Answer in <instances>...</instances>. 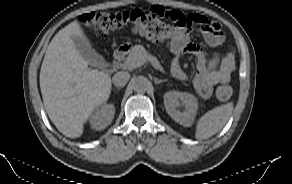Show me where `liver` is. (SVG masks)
<instances>
[{"label":"liver","mask_w":292,"mask_h":184,"mask_svg":"<svg viewBox=\"0 0 292 184\" xmlns=\"http://www.w3.org/2000/svg\"><path fill=\"white\" fill-rule=\"evenodd\" d=\"M72 36L87 40L76 20L50 42L40 70V89L56 128L66 137L77 138L94 109L108 100L112 84L109 74L88 67Z\"/></svg>","instance_id":"1"}]
</instances>
